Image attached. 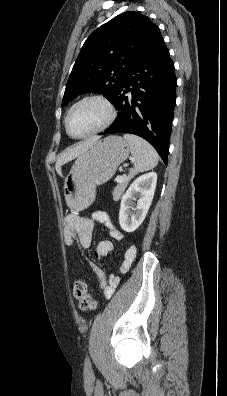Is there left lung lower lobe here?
Masks as SVG:
<instances>
[{
    "instance_id": "1",
    "label": "left lung lower lobe",
    "mask_w": 227,
    "mask_h": 396,
    "mask_svg": "<svg viewBox=\"0 0 227 396\" xmlns=\"http://www.w3.org/2000/svg\"><path fill=\"white\" fill-rule=\"evenodd\" d=\"M176 84L174 64L161 38L129 71L112 102L119 111L118 116L100 135L121 132L138 135L147 140L167 164Z\"/></svg>"
}]
</instances>
